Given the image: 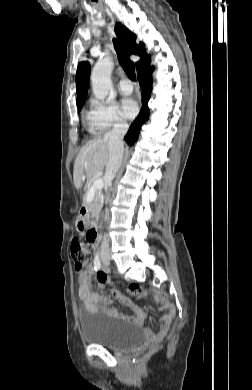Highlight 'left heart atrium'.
I'll return each mask as SVG.
<instances>
[{"label": "left heart atrium", "mask_w": 252, "mask_h": 390, "mask_svg": "<svg viewBox=\"0 0 252 390\" xmlns=\"http://www.w3.org/2000/svg\"><path fill=\"white\" fill-rule=\"evenodd\" d=\"M121 108H122L123 114L128 118H133L138 112L137 103L130 98H125L122 100Z\"/></svg>", "instance_id": "left-heart-atrium-1"}]
</instances>
